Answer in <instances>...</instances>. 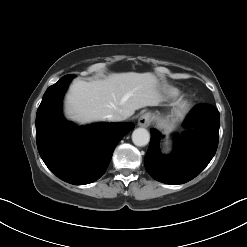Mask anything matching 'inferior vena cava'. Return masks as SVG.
Masks as SVG:
<instances>
[{"instance_id": "inferior-vena-cava-1", "label": "inferior vena cava", "mask_w": 247, "mask_h": 247, "mask_svg": "<svg viewBox=\"0 0 247 247\" xmlns=\"http://www.w3.org/2000/svg\"><path fill=\"white\" fill-rule=\"evenodd\" d=\"M127 118H128L127 115L120 114V113H114V114H110V115L107 116V119L109 121H122V120H125Z\"/></svg>"}]
</instances>
